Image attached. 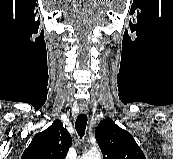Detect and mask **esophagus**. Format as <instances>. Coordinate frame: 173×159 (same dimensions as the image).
I'll return each instance as SVG.
<instances>
[{
	"label": "esophagus",
	"instance_id": "34e87169",
	"mask_svg": "<svg viewBox=\"0 0 173 159\" xmlns=\"http://www.w3.org/2000/svg\"><path fill=\"white\" fill-rule=\"evenodd\" d=\"M80 110H81L82 113H86L88 108L87 107H81Z\"/></svg>",
	"mask_w": 173,
	"mask_h": 159
}]
</instances>
